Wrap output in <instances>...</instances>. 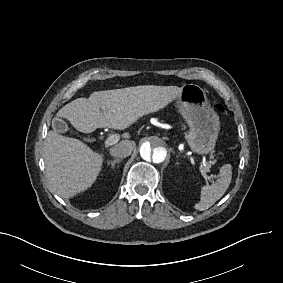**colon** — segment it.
Instances as JSON below:
<instances>
[{
  "mask_svg": "<svg viewBox=\"0 0 283 283\" xmlns=\"http://www.w3.org/2000/svg\"><path fill=\"white\" fill-rule=\"evenodd\" d=\"M216 108H217V111H218L220 114L224 115V114L226 113V109H225V107H224L223 104L218 103L217 106H216Z\"/></svg>",
  "mask_w": 283,
  "mask_h": 283,
  "instance_id": "1",
  "label": "colon"
}]
</instances>
